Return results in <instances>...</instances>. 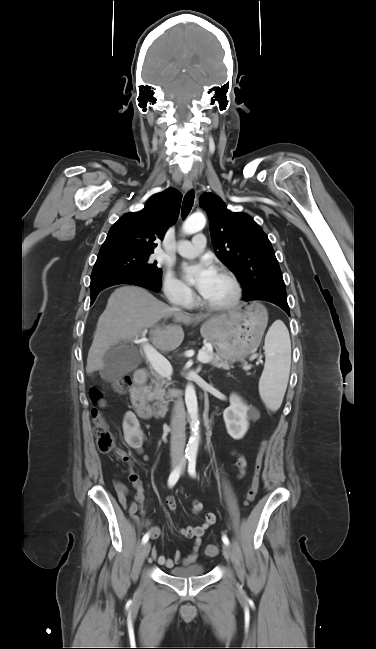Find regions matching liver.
Returning <instances> with one entry per match:
<instances>
[{
    "label": "liver",
    "mask_w": 376,
    "mask_h": 649,
    "mask_svg": "<svg viewBox=\"0 0 376 649\" xmlns=\"http://www.w3.org/2000/svg\"><path fill=\"white\" fill-rule=\"evenodd\" d=\"M168 317L185 324L206 318L191 317L173 309L141 287L117 288L99 317L88 352L86 372L91 374L101 369L104 366L103 356L113 345L119 341L132 342L148 328L151 329L150 338L157 349L163 352L175 350L183 342L184 332L179 325H157L160 319Z\"/></svg>",
    "instance_id": "1"
}]
</instances>
